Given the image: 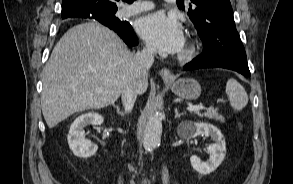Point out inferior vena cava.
<instances>
[{
  "instance_id": "602c4592",
  "label": "inferior vena cava",
  "mask_w": 293,
  "mask_h": 184,
  "mask_svg": "<svg viewBox=\"0 0 293 184\" xmlns=\"http://www.w3.org/2000/svg\"><path fill=\"white\" fill-rule=\"evenodd\" d=\"M154 62V50L150 46L138 51L133 58L134 77L122 91V103L126 112H130L134 106L141 83L148 75V71Z\"/></svg>"
}]
</instances>
